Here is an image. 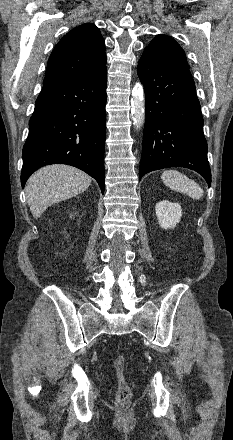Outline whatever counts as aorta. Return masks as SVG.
<instances>
[{"instance_id": "obj_1", "label": "aorta", "mask_w": 233, "mask_h": 440, "mask_svg": "<svg viewBox=\"0 0 233 440\" xmlns=\"http://www.w3.org/2000/svg\"><path fill=\"white\" fill-rule=\"evenodd\" d=\"M131 113L133 125L138 130L145 122V98L140 82L136 83L132 90Z\"/></svg>"}]
</instances>
